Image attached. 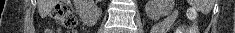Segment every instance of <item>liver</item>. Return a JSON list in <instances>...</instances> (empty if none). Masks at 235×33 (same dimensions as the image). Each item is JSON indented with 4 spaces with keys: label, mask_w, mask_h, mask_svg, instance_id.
Returning a JSON list of instances; mask_svg holds the SVG:
<instances>
[{
    "label": "liver",
    "mask_w": 235,
    "mask_h": 33,
    "mask_svg": "<svg viewBox=\"0 0 235 33\" xmlns=\"http://www.w3.org/2000/svg\"><path fill=\"white\" fill-rule=\"evenodd\" d=\"M52 8L50 0H38V11L43 17L47 16Z\"/></svg>",
    "instance_id": "obj_1"
}]
</instances>
